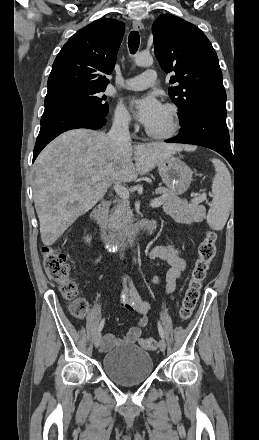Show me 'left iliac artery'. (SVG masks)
I'll use <instances>...</instances> for the list:
<instances>
[{
    "label": "left iliac artery",
    "mask_w": 259,
    "mask_h": 440,
    "mask_svg": "<svg viewBox=\"0 0 259 440\" xmlns=\"http://www.w3.org/2000/svg\"><path fill=\"white\" fill-rule=\"evenodd\" d=\"M158 331H159L160 336L162 338H164V330L159 322H158Z\"/></svg>",
    "instance_id": "44dca946"
}]
</instances>
